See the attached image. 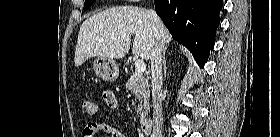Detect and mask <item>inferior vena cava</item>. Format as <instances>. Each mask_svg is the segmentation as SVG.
I'll return each mask as SVG.
<instances>
[{"mask_svg":"<svg viewBox=\"0 0 280 137\" xmlns=\"http://www.w3.org/2000/svg\"><path fill=\"white\" fill-rule=\"evenodd\" d=\"M156 24L159 17L154 10L149 11ZM162 51L159 41H156L151 55L152 74V103H153V133L151 137H162L163 112H162Z\"/></svg>","mask_w":280,"mask_h":137,"instance_id":"obj_1","label":"inferior vena cava"}]
</instances>
